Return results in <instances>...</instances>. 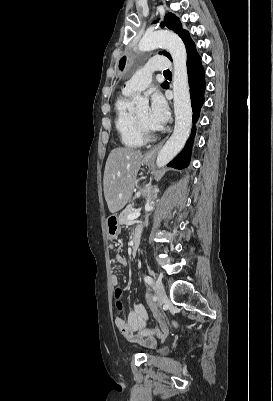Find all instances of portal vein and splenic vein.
Wrapping results in <instances>:
<instances>
[{"instance_id": "1", "label": "portal vein and splenic vein", "mask_w": 273, "mask_h": 401, "mask_svg": "<svg viewBox=\"0 0 273 401\" xmlns=\"http://www.w3.org/2000/svg\"><path fill=\"white\" fill-rule=\"evenodd\" d=\"M142 212V206H139V208H136L134 213H131V215H128L127 219L128 221H134V219H138L140 217Z\"/></svg>"}]
</instances>
